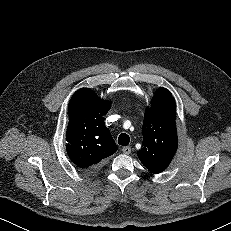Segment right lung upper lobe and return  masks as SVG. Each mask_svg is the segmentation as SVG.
I'll list each match as a JSON object with an SVG mask.
<instances>
[{
	"label": "right lung upper lobe",
	"mask_w": 231,
	"mask_h": 231,
	"mask_svg": "<svg viewBox=\"0 0 231 231\" xmlns=\"http://www.w3.org/2000/svg\"><path fill=\"white\" fill-rule=\"evenodd\" d=\"M110 106L109 100L89 88L79 89L70 99L66 149L71 161L82 169L98 167L118 149L103 118Z\"/></svg>",
	"instance_id": "1"
}]
</instances>
